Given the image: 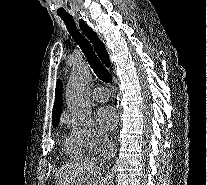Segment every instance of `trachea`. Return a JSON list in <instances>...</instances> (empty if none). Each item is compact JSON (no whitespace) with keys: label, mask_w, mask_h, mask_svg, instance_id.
<instances>
[{"label":"trachea","mask_w":207,"mask_h":185,"mask_svg":"<svg viewBox=\"0 0 207 185\" xmlns=\"http://www.w3.org/2000/svg\"><path fill=\"white\" fill-rule=\"evenodd\" d=\"M64 21L68 32L72 36L73 40L80 46L81 50L88 59L93 71L96 73L97 77L106 83H111V77L104 67L103 63L107 66L106 56L107 50L104 43L98 38L97 34L90 28L86 23L83 24L82 33L77 29L75 21L67 17H61ZM87 37V38H86ZM91 43H95L94 49L98 54V57L94 53ZM103 62V63H102Z\"/></svg>","instance_id":"3493384b"}]
</instances>
